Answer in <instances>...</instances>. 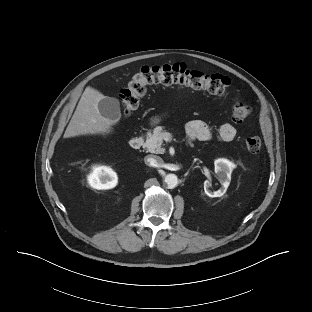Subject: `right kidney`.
I'll use <instances>...</instances> for the list:
<instances>
[{
    "label": "right kidney",
    "instance_id": "obj_1",
    "mask_svg": "<svg viewBox=\"0 0 312 312\" xmlns=\"http://www.w3.org/2000/svg\"><path fill=\"white\" fill-rule=\"evenodd\" d=\"M117 175L106 166H99L93 169V172L88 176L89 184L95 189H111L117 185Z\"/></svg>",
    "mask_w": 312,
    "mask_h": 312
}]
</instances>
